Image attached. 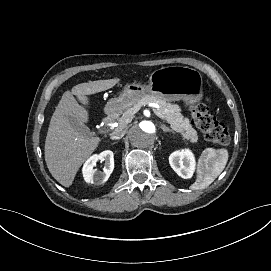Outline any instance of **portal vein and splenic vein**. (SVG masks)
<instances>
[{"instance_id":"obj_1","label":"portal vein and splenic vein","mask_w":271,"mask_h":271,"mask_svg":"<svg viewBox=\"0 0 271 271\" xmlns=\"http://www.w3.org/2000/svg\"><path fill=\"white\" fill-rule=\"evenodd\" d=\"M153 112H156V115H158V117H159L161 120H164V116H162V114H160V112H157V109H153Z\"/></svg>"}]
</instances>
